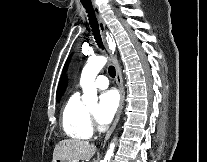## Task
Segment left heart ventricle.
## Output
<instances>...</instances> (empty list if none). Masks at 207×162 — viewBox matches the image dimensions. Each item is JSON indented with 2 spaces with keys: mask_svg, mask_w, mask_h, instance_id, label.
<instances>
[{
  "mask_svg": "<svg viewBox=\"0 0 207 162\" xmlns=\"http://www.w3.org/2000/svg\"><path fill=\"white\" fill-rule=\"evenodd\" d=\"M96 109H91L92 112H95Z\"/></svg>",
  "mask_w": 207,
  "mask_h": 162,
  "instance_id": "b2bd125f",
  "label": "left heart ventricle"
}]
</instances>
